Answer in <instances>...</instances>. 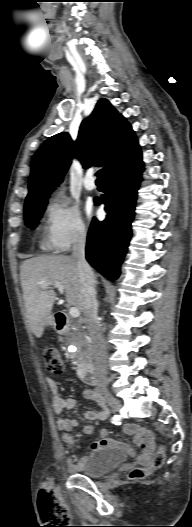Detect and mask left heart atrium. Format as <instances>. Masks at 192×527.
Instances as JSON below:
<instances>
[{"mask_svg": "<svg viewBox=\"0 0 192 527\" xmlns=\"http://www.w3.org/2000/svg\"><path fill=\"white\" fill-rule=\"evenodd\" d=\"M85 213L88 217H90L92 214H93V208H92V205L90 203H87L85 205Z\"/></svg>", "mask_w": 192, "mask_h": 527, "instance_id": "left-heart-atrium-1", "label": "left heart atrium"}]
</instances>
